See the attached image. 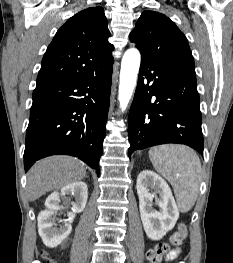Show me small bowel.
Masks as SVG:
<instances>
[{"mask_svg": "<svg viewBox=\"0 0 233 263\" xmlns=\"http://www.w3.org/2000/svg\"><path fill=\"white\" fill-rule=\"evenodd\" d=\"M180 254V250L179 249H175L169 252V254L166 257V261H171L174 260L175 258H177Z\"/></svg>", "mask_w": 233, "mask_h": 263, "instance_id": "1", "label": "small bowel"}]
</instances>
